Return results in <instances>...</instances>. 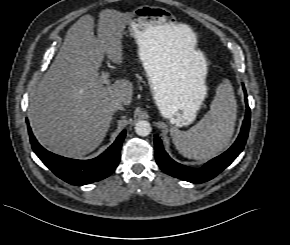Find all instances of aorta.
Here are the masks:
<instances>
[{
    "label": "aorta",
    "mask_w": 290,
    "mask_h": 245,
    "mask_svg": "<svg viewBox=\"0 0 290 245\" xmlns=\"http://www.w3.org/2000/svg\"><path fill=\"white\" fill-rule=\"evenodd\" d=\"M152 131L151 125L146 120H140L135 124V132L142 137L148 136Z\"/></svg>",
    "instance_id": "762f6f07"
}]
</instances>
